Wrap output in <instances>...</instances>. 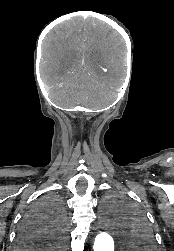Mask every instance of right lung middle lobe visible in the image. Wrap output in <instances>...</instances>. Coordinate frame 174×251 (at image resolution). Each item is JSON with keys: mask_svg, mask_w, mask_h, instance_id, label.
<instances>
[{"mask_svg": "<svg viewBox=\"0 0 174 251\" xmlns=\"http://www.w3.org/2000/svg\"><path fill=\"white\" fill-rule=\"evenodd\" d=\"M24 220L46 223L52 230L61 233L65 225V215L60 197L53 193L42 196Z\"/></svg>", "mask_w": 174, "mask_h": 251, "instance_id": "right-lung-middle-lobe-1", "label": "right lung middle lobe"}]
</instances>
